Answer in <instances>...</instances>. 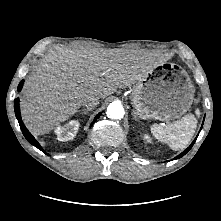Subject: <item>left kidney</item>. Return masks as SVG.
Here are the masks:
<instances>
[{"instance_id":"obj_1","label":"left kidney","mask_w":221,"mask_h":221,"mask_svg":"<svg viewBox=\"0 0 221 221\" xmlns=\"http://www.w3.org/2000/svg\"><path fill=\"white\" fill-rule=\"evenodd\" d=\"M143 139H144L145 142L152 143L151 137L147 134L143 135Z\"/></svg>"}]
</instances>
